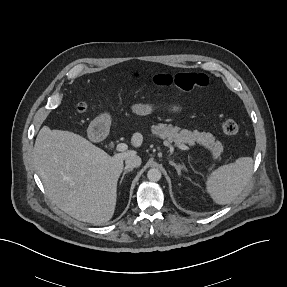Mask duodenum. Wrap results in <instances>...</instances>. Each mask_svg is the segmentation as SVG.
<instances>
[{
	"label": "duodenum",
	"mask_w": 287,
	"mask_h": 287,
	"mask_svg": "<svg viewBox=\"0 0 287 287\" xmlns=\"http://www.w3.org/2000/svg\"><path fill=\"white\" fill-rule=\"evenodd\" d=\"M109 127L106 123L100 122L93 125L91 134L94 137L105 138L108 135Z\"/></svg>",
	"instance_id": "obj_1"
}]
</instances>
